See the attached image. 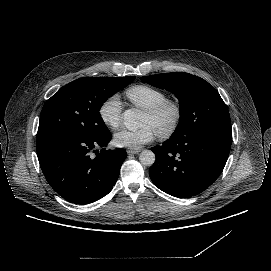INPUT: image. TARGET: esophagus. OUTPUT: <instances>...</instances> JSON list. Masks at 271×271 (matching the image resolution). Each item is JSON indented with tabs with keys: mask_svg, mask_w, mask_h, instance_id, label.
Returning a JSON list of instances; mask_svg holds the SVG:
<instances>
[{
	"mask_svg": "<svg viewBox=\"0 0 271 271\" xmlns=\"http://www.w3.org/2000/svg\"><path fill=\"white\" fill-rule=\"evenodd\" d=\"M140 151H141L140 148H136V149H127V150H126V152H127L128 154H137V153H139Z\"/></svg>",
	"mask_w": 271,
	"mask_h": 271,
	"instance_id": "34e87169",
	"label": "esophagus"
}]
</instances>
